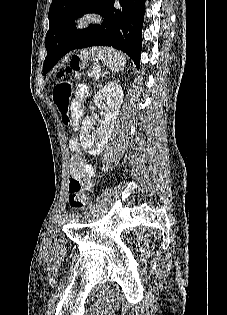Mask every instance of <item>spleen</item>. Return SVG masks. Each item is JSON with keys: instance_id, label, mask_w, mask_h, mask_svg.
Segmentation results:
<instances>
[{"instance_id": "1", "label": "spleen", "mask_w": 227, "mask_h": 315, "mask_svg": "<svg viewBox=\"0 0 227 315\" xmlns=\"http://www.w3.org/2000/svg\"><path fill=\"white\" fill-rule=\"evenodd\" d=\"M96 56L114 72L120 71L126 64L124 55L114 49H97Z\"/></svg>"}]
</instances>
